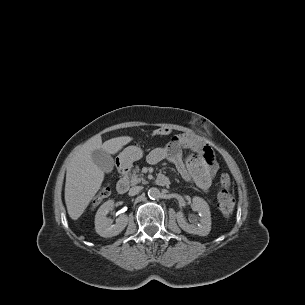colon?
Returning a JSON list of instances; mask_svg holds the SVG:
<instances>
[{
    "label": "colon",
    "instance_id": "obj_1",
    "mask_svg": "<svg viewBox=\"0 0 305 305\" xmlns=\"http://www.w3.org/2000/svg\"><path fill=\"white\" fill-rule=\"evenodd\" d=\"M171 130L166 127L158 128L153 132V135L155 136H162L169 134ZM220 192L217 197V206L218 209L224 214V215H230L234 208H235V199L231 193V181L228 175L224 174L221 176L220 179ZM110 193V188L108 185L103 186L98 193L96 194L93 205L98 204L101 202L104 198H106Z\"/></svg>",
    "mask_w": 305,
    "mask_h": 305
}]
</instances>
